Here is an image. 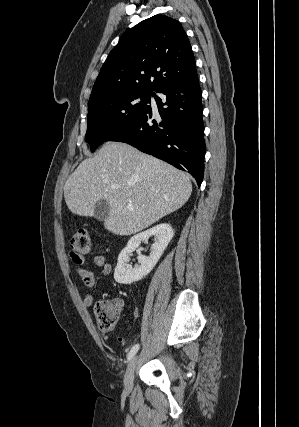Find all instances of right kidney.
Masks as SVG:
<instances>
[{
	"instance_id": "right-kidney-1",
	"label": "right kidney",
	"mask_w": 299,
	"mask_h": 427,
	"mask_svg": "<svg viewBox=\"0 0 299 427\" xmlns=\"http://www.w3.org/2000/svg\"><path fill=\"white\" fill-rule=\"evenodd\" d=\"M173 235L174 232L171 225L162 223L130 238L127 246L119 254L114 272L115 281L120 284H131L149 274L159 261ZM151 236H154L155 242L152 244L150 255L139 256V265L132 268L128 264L131 253L135 251L142 241H147Z\"/></svg>"
}]
</instances>
